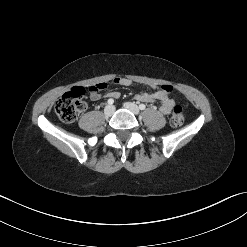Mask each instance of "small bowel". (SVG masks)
I'll return each mask as SVG.
<instances>
[{
    "mask_svg": "<svg viewBox=\"0 0 247 247\" xmlns=\"http://www.w3.org/2000/svg\"><path fill=\"white\" fill-rule=\"evenodd\" d=\"M116 85L120 86H132L133 82L124 77H116L112 81ZM92 87V86H91ZM90 87V88H91ZM153 92L140 91L135 95V100L138 102H159L160 104V112L164 115L170 114L174 107V100L170 97V93L172 92V87L170 85H162V86H151ZM106 96L111 98H118L119 93L117 91H108ZM90 97L92 100L96 101L102 98L101 91L90 90Z\"/></svg>",
    "mask_w": 247,
    "mask_h": 247,
    "instance_id": "1",
    "label": "small bowel"
}]
</instances>
